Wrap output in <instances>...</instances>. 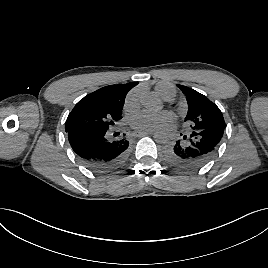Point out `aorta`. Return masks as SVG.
Here are the masks:
<instances>
[{
    "label": "aorta",
    "mask_w": 268,
    "mask_h": 268,
    "mask_svg": "<svg viewBox=\"0 0 268 268\" xmlns=\"http://www.w3.org/2000/svg\"><path fill=\"white\" fill-rule=\"evenodd\" d=\"M145 105L151 110H157L161 108L159 101L154 97H150L145 102ZM153 138L157 143H164L166 141V134L163 131L158 130L154 133Z\"/></svg>",
    "instance_id": "aorta-1"
}]
</instances>
